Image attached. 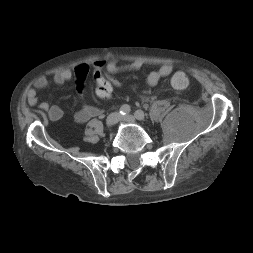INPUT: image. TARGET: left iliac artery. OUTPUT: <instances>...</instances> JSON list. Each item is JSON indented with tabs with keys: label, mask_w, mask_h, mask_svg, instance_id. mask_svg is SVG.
<instances>
[{
	"label": "left iliac artery",
	"mask_w": 253,
	"mask_h": 253,
	"mask_svg": "<svg viewBox=\"0 0 253 253\" xmlns=\"http://www.w3.org/2000/svg\"><path fill=\"white\" fill-rule=\"evenodd\" d=\"M134 115L138 120L145 119V113L142 110H137Z\"/></svg>",
	"instance_id": "1"
}]
</instances>
